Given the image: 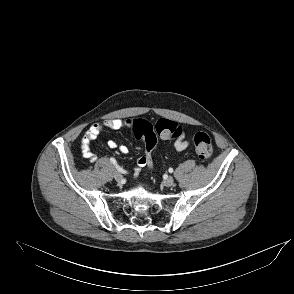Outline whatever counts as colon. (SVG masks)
<instances>
[{
  "label": "colon",
  "mask_w": 294,
  "mask_h": 294,
  "mask_svg": "<svg viewBox=\"0 0 294 294\" xmlns=\"http://www.w3.org/2000/svg\"><path fill=\"white\" fill-rule=\"evenodd\" d=\"M131 129L137 139L143 141L145 158L152 164L157 145V135L164 138H176L182 133L180 126L171 120L161 119L156 124L144 119H133ZM197 156L207 160L212 156L213 147L209 135L196 131L192 135Z\"/></svg>",
  "instance_id": "obj_1"
}]
</instances>
